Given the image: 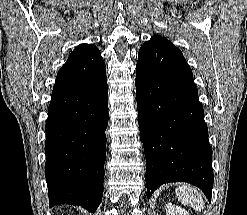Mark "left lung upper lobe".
Returning <instances> with one entry per match:
<instances>
[{
	"instance_id": "5c2ea615",
	"label": "left lung upper lobe",
	"mask_w": 247,
	"mask_h": 215,
	"mask_svg": "<svg viewBox=\"0 0 247 215\" xmlns=\"http://www.w3.org/2000/svg\"><path fill=\"white\" fill-rule=\"evenodd\" d=\"M153 37H155V38H162V37H160V36H158V35H154Z\"/></svg>"
}]
</instances>
